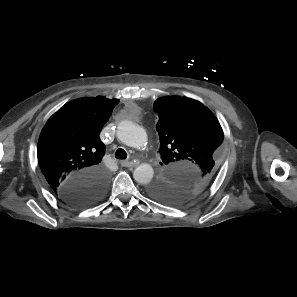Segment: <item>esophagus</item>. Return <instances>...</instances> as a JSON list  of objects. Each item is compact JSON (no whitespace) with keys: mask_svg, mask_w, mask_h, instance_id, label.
<instances>
[{"mask_svg":"<svg viewBox=\"0 0 297 297\" xmlns=\"http://www.w3.org/2000/svg\"><path fill=\"white\" fill-rule=\"evenodd\" d=\"M121 165L123 167H136L138 163L133 162V161H121Z\"/></svg>","mask_w":297,"mask_h":297,"instance_id":"34e87169","label":"esophagus"}]
</instances>
